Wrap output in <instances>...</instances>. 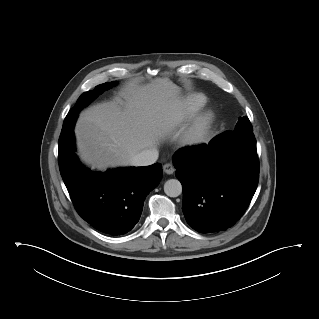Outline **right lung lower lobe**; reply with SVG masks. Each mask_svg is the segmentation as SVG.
Returning <instances> with one entry per match:
<instances>
[{"label": "right lung lower lobe", "mask_w": 319, "mask_h": 319, "mask_svg": "<svg viewBox=\"0 0 319 319\" xmlns=\"http://www.w3.org/2000/svg\"><path fill=\"white\" fill-rule=\"evenodd\" d=\"M74 133L59 142V168L72 202L95 229L123 235L139 221L146 196L159 184L161 164L96 173L77 159Z\"/></svg>", "instance_id": "right-lung-lower-lobe-1"}]
</instances>
